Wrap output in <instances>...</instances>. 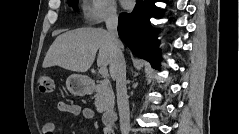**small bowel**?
<instances>
[{"mask_svg":"<svg viewBox=\"0 0 239 134\" xmlns=\"http://www.w3.org/2000/svg\"><path fill=\"white\" fill-rule=\"evenodd\" d=\"M57 109L59 112L68 113L71 115H81L84 119H91L94 116L92 108L88 106H82L74 103L58 102ZM44 134H55L56 125L53 122H49L44 126Z\"/></svg>","mask_w":239,"mask_h":134,"instance_id":"obj_1","label":"small bowel"}]
</instances>
